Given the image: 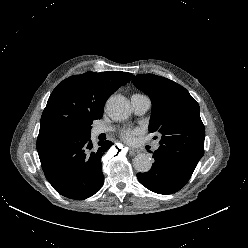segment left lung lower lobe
<instances>
[{"label":"left lung lower lobe","instance_id":"obj_1","mask_svg":"<svg viewBox=\"0 0 248 248\" xmlns=\"http://www.w3.org/2000/svg\"><path fill=\"white\" fill-rule=\"evenodd\" d=\"M155 162L146 173H137L139 182L158 194H171L180 190L190 179L195 168L160 149L154 152Z\"/></svg>","mask_w":248,"mask_h":248}]
</instances>
